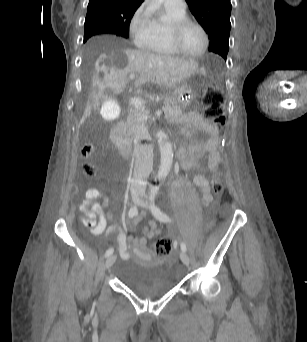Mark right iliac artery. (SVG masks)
Instances as JSON below:
<instances>
[{"mask_svg": "<svg viewBox=\"0 0 307 342\" xmlns=\"http://www.w3.org/2000/svg\"><path fill=\"white\" fill-rule=\"evenodd\" d=\"M138 214V209L136 206H133L130 208L129 210V213H128V216L129 218H133L134 216H136ZM114 252V249L113 248H109L106 253H105V256L108 257L110 256L112 253Z\"/></svg>", "mask_w": 307, "mask_h": 342, "instance_id": "obj_1", "label": "right iliac artery"}]
</instances>
